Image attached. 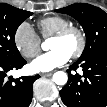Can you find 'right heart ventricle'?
Wrapping results in <instances>:
<instances>
[{
    "instance_id": "obj_1",
    "label": "right heart ventricle",
    "mask_w": 107,
    "mask_h": 107,
    "mask_svg": "<svg viewBox=\"0 0 107 107\" xmlns=\"http://www.w3.org/2000/svg\"><path fill=\"white\" fill-rule=\"evenodd\" d=\"M72 24V21L60 15L48 16L38 22L39 30L43 38L52 37L56 32L62 28Z\"/></svg>"
}]
</instances>
